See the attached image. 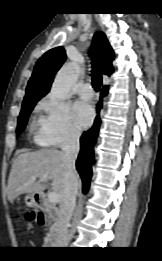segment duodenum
I'll use <instances>...</instances> for the list:
<instances>
[{
    "instance_id": "1",
    "label": "duodenum",
    "mask_w": 162,
    "mask_h": 261,
    "mask_svg": "<svg viewBox=\"0 0 162 261\" xmlns=\"http://www.w3.org/2000/svg\"><path fill=\"white\" fill-rule=\"evenodd\" d=\"M34 202H35V206L40 209V210H45L46 213L43 214V222L41 225H44L47 223V221L50 218L51 214H54V210H46V198L44 195L42 194H35L34 196ZM41 213V212H40Z\"/></svg>"
}]
</instances>
